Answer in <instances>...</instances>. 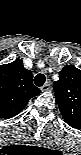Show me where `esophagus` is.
I'll return each instance as SVG.
<instances>
[{"instance_id":"34e87169","label":"esophagus","mask_w":81,"mask_h":155,"mask_svg":"<svg viewBox=\"0 0 81 155\" xmlns=\"http://www.w3.org/2000/svg\"><path fill=\"white\" fill-rule=\"evenodd\" d=\"M42 91H49L51 90V85L49 82L45 83L42 87H41Z\"/></svg>"}]
</instances>
